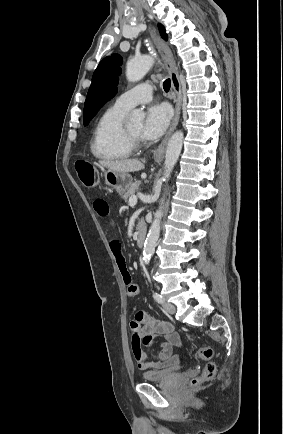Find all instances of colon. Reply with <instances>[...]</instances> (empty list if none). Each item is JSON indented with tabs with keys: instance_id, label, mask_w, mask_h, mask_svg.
<instances>
[{
	"instance_id": "1",
	"label": "colon",
	"mask_w": 283,
	"mask_h": 434,
	"mask_svg": "<svg viewBox=\"0 0 283 434\" xmlns=\"http://www.w3.org/2000/svg\"><path fill=\"white\" fill-rule=\"evenodd\" d=\"M76 172L81 183L87 188H94L98 184V173L95 167L88 162H77L75 165ZM195 356L203 361H209L213 356V351L210 347L204 346L199 348ZM216 365L213 362H209L201 376L192 380L193 384L202 380H209L215 376Z\"/></svg>"
}]
</instances>
